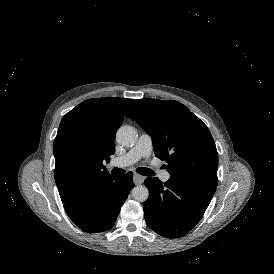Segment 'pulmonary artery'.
I'll return each mask as SVG.
<instances>
[{"label": "pulmonary artery", "instance_id": "e3ab8cb5", "mask_svg": "<svg viewBox=\"0 0 274 274\" xmlns=\"http://www.w3.org/2000/svg\"><path fill=\"white\" fill-rule=\"evenodd\" d=\"M152 151V138L146 133H142L135 144L125 155L117 157L109 164L110 167L124 168L138 162L142 158H148ZM163 182L168 181L170 174L163 171L160 176Z\"/></svg>", "mask_w": 274, "mask_h": 274}]
</instances>
